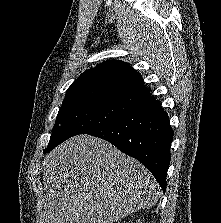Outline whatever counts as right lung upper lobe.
<instances>
[{
  "label": "right lung upper lobe",
  "mask_w": 221,
  "mask_h": 223,
  "mask_svg": "<svg viewBox=\"0 0 221 223\" xmlns=\"http://www.w3.org/2000/svg\"><path fill=\"white\" fill-rule=\"evenodd\" d=\"M82 98L118 101L135 107L154 99L141 75L129 64L117 60L86 70L71 84L63 102Z\"/></svg>",
  "instance_id": "obj_1"
}]
</instances>
